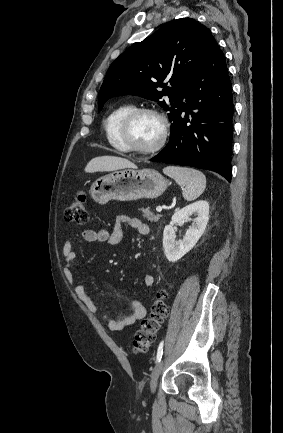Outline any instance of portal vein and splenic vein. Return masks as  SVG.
<instances>
[{
    "instance_id": "18ae733b",
    "label": "portal vein and splenic vein",
    "mask_w": 283,
    "mask_h": 433,
    "mask_svg": "<svg viewBox=\"0 0 283 433\" xmlns=\"http://www.w3.org/2000/svg\"><path fill=\"white\" fill-rule=\"evenodd\" d=\"M162 208H166V206H156L157 212H161Z\"/></svg>"
}]
</instances>
